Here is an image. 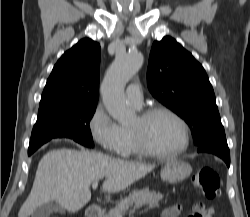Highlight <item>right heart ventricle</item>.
Segmentation results:
<instances>
[{
  "mask_svg": "<svg viewBox=\"0 0 250 217\" xmlns=\"http://www.w3.org/2000/svg\"><path fill=\"white\" fill-rule=\"evenodd\" d=\"M121 130L124 139V146L121 155L127 157L142 155L143 153L139 150L131 129L126 127H121Z\"/></svg>",
  "mask_w": 250,
  "mask_h": 217,
  "instance_id": "right-heart-ventricle-1",
  "label": "right heart ventricle"
}]
</instances>
